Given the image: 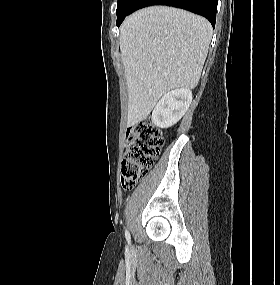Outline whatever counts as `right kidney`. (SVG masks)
Listing matches in <instances>:
<instances>
[{
  "instance_id": "obj_1",
  "label": "right kidney",
  "mask_w": 280,
  "mask_h": 285,
  "mask_svg": "<svg viewBox=\"0 0 280 285\" xmlns=\"http://www.w3.org/2000/svg\"><path fill=\"white\" fill-rule=\"evenodd\" d=\"M192 98V92L188 88L168 92L156 104L151 116L152 122L160 128L173 126L186 113Z\"/></svg>"
}]
</instances>
